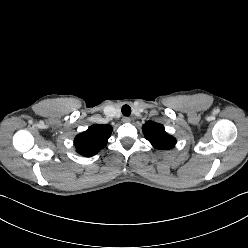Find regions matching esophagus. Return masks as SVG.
I'll use <instances>...</instances> for the list:
<instances>
[{"mask_svg": "<svg viewBox=\"0 0 248 248\" xmlns=\"http://www.w3.org/2000/svg\"><path fill=\"white\" fill-rule=\"evenodd\" d=\"M123 122L129 123V122H131V118L130 117H124Z\"/></svg>", "mask_w": 248, "mask_h": 248, "instance_id": "obj_1", "label": "esophagus"}]
</instances>
